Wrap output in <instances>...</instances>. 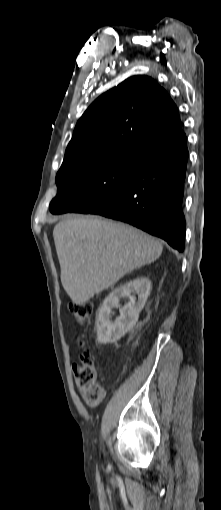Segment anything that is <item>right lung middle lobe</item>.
<instances>
[{
    "label": "right lung middle lobe",
    "mask_w": 221,
    "mask_h": 510,
    "mask_svg": "<svg viewBox=\"0 0 221 510\" xmlns=\"http://www.w3.org/2000/svg\"><path fill=\"white\" fill-rule=\"evenodd\" d=\"M150 150L128 146L84 154L63 161L56 175L53 214L103 205L120 194L133 179Z\"/></svg>",
    "instance_id": "right-lung-middle-lobe-1"
}]
</instances>
